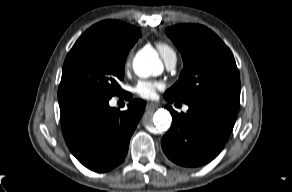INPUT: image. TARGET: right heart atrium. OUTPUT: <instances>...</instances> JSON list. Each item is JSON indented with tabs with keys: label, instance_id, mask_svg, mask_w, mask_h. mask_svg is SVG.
<instances>
[{
	"label": "right heart atrium",
	"instance_id": "d8ad5b80",
	"mask_svg": "<svg viewBox=\"0 0 292 192\" xmlns=\"http://www.w3.org/2000/svg\"><path fill=\"white\" fill-rule=\"evenodd\" d=\"M131 58H132V54L129 53L125 59V62H124V67L125 68H128L131 64Z\"/></svg>",
	"mask_w": 292,
	"mask_h": 192
}]
</instances>
